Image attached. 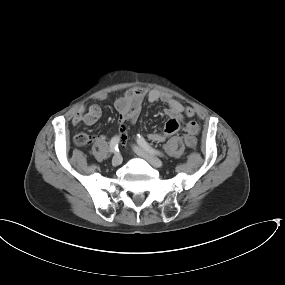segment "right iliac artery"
Instances as JSON below:
<instances>
[{
  "instance_id": "82829eb1",
  "label": "right iliac artery",
  "mask_w": 285,
  "mask_h": 285,
  "mask_svg": "<svg viewBox=\"0 0 285 285\" xmlns=\"http://www.w3.org/2000/svg\"><path fill=\"white\" fill-rule=\"evenodd\" d=\"M119 138L118 137H113L112 140L110 141V152L115 153L119 151L118 145H119Z\"/></svg>"
}]
</instances>
